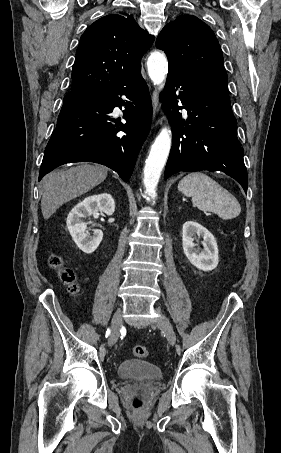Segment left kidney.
<instances>
[{
	"instance_id": "left-kidney-1",
	"label": "left kidney",
	"mask_w": 281,
	"mask_h": 453,
	"mask_svg": "<svg viewBox=\"0 0 281 453\" xmlns=\"http://www.w3.org/2000/svg\"><path fill=\"white\" fill-rule=\"evenodd\" d=\"M195 235L203 237L202 245L204 249H195L193 243ZM183 251L190 263L200 269V271H213L216 269L218 261V247L215 237L202 227L199 222L187 220L182 229Z\"/></svg>"
}]
</instances>
